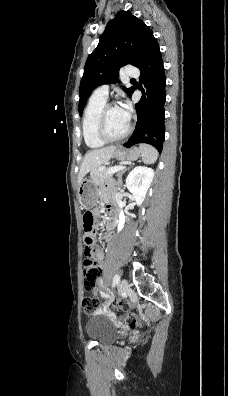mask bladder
Masks as SVG:
<instances>
[{"mask_svg":"<svg viewBox=\"0 0 228 396\" xmlns=\"http://www.w3.org/2000/svg\"><path fill=\"white\" fill-rule=\"evenodd\" d=\"M85 330L86 335L98 343L112 342L118 336V328L102 316H94L88 319Z\"/></svg>","mask_w":228,"mask_h":396,"instance_id":"bladder-1","label":"bladder"}]
</instances>
